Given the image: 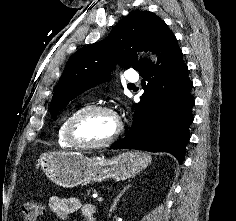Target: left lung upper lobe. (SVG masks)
I'll return each instance as SVG.
<instances>
[{
	"label": "left lung upper lobe",
	"instance_id": "5c2ea615",
	"mask_svg": "<svg viewBox=\"0 0 236 221\" xmlns=\"http://www.w3.org/2000/svg\"><path fill=\"white\" fill-rule=\"evenodd\" d=\"M168 27L157 15L133 11L116 24L103 40L75 52L68 60L55 89L50 109L57 115L72 99L89 88L110 79L118 63L139 69L148 59L137 60V51L154 52Z\"/></svg>",
	"mask_w": 236,
	"mask_h": 221
}]
</instances>
